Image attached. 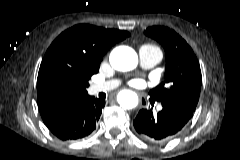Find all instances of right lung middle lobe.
Instances as JSON below:
<instances>
[{"label":"right lung middle lobe","instance_id":"obj_1","mask_svg":"<svg viewBox=\"0 0 240 160\" xmlns=\"http://www.w3.org/2000/svg\"><path fill=\"white\" fill-rule=\"evenodd\" d=\"M96 69L84 68L77 71H61L54 78L57 94L60 98L74 99L87 94L86 88L91 76L97 73Z\"/></svg>","mask_w":240,"mask_h":160}]
</instances>
